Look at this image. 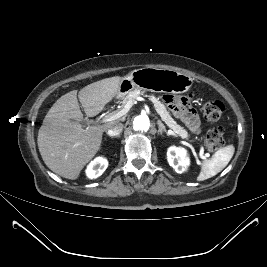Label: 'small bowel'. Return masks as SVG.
<instances>
[{"mask_svg":"<svg viewBox=\"0 0 267 267\" xmlns=\"http://www.w3.org/2000/svg\"><path fill=\"white\" fill-rule=\"evenodd\" d=\"M163 100L168 109L178 116L192 132H199L201 126L200 121L190 106L188 98L173 94H165Z\"/></svg>","mask_w":267,"mask_h":267,"instance_id":"small-bowel-1","label":"small bowel"}]
</instances>
